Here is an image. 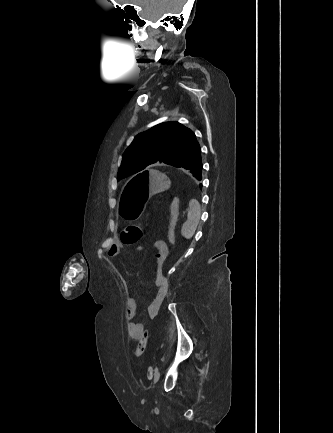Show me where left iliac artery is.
Instances as JSON below:
<instances>
[{
	"label": "left iliac artery",
	"instance_id": "left-iliac-artery-1",
	"mask_svg": "<svg viewBox=\"0 0 333 433\" xmlns=\"http://www.w3.org/2000/svg\"><path fill=\"white\" fill-rule=\"evenodd\" d=\"M156 371H158V368H155V372ZM149 372H150V374L152 373V368L151 367L149 368Z\"/></svg>",
	"mask_w": 333,
	"mask_h": 433
}]
</instances>
